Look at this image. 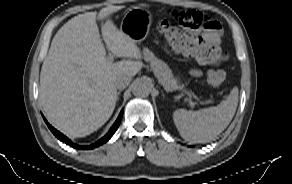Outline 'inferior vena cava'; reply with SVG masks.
Listing matches in <instances>:
<instances>
[{
  "label": "inferior vena cava",
  "instance_id": "obj_1",
  "mask_svg": "<svg viewBox=\"0 0 292 184\" xmlns=\"http://www.w3.org/2000/svg\"><path fill=\"white\" fill-rule=\"evenodd\" d=\"M131 82V77L127 75H121L117 77L115 81V86L117 89H124L126 88Z\"/></svg>",
  "mask_w": 292,
  "mask_h": 184
}]
</instances>
